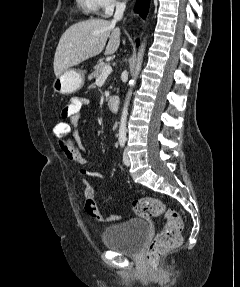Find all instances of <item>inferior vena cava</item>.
<instances>
[{"label":"inferior vena cava","mask_w":240,"mask_h":287,"mask_svg":"<svg viewBox=\"0 0 240 287\" xmlns=\"http://www.w3.org/2000/svg\"><path fill=\"white\" fill-rule=\"evenodd\" d=\"M125 8H126V4L124 2L116 3V11L114 14V19H113L114 23L122 19Z\"/></svg>","instance_id":"1"}]
</instances>
